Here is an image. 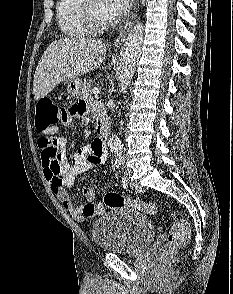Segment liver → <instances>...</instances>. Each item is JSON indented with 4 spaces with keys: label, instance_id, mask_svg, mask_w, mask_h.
Segmentation results:
<instances>
[{
    "label": "liver",
    "instance_id": "1",
    "mask_svg": "<svg viewBox=\"0 0 233 294\" xmlns=\"http://www.w3.org/2000/svg\"><path fill=\"white\" fill-rule=\"evenodd\" d=\"M106 50V43L97 39L65 38L52 42L34 74L35 100L47 96L60 82L98 68L105 59Z\"/></svg>",
    "mask_w": 233,
    "mask_h": 294
}]
</instances>
